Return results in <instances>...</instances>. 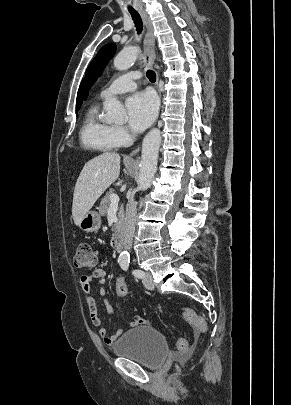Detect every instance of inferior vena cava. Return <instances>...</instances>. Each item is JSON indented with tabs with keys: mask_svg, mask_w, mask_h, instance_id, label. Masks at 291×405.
Instances as JSON below:
<instances>
[{
	"mask_svg": "<svg viewBox=\"0 0 291 405\" xmlns=\"http://www.w3.org/2000/svg\"><path fill=\"white\" fill-rule=\"evenodd\" d=\"M136 213V203L133 200H129L126 206L125 221L122 227L123 244L126 250H130L132 247L136 223Z\"/></svg>",
	"mask_w": 291,
	"mask_h": 405,
	"instance_id": "obj_1",
	"label": "inferior vena cava"
}]
</instances>
